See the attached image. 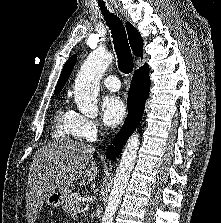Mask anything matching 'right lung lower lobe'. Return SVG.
<instances>
[{"mask_svg":"<svg viewBox=\"0 0 221 223\" xmlns=\"http://www.w3.org/2000/svg\"><path fill=\"white\" fill-rule=\"evenodd\" d=\"M149 87V69H141L136 71L133 75L128 92V116L122 129L113 140L115 148L114 146H110L107 150V155L110 159L115 160L116 156H118V153H120L122 149V144L139 124L143 115L145 102L149 95Z\"/></svg>","mask_w":221,"mask_h":223,"instance_id":"98d812e1","label":"right lung lower lobe"}]
</instances>
